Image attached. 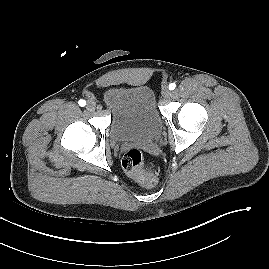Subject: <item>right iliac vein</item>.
I'll list each match as a JSON object with an SVG mask.
<instances>
[{
	"instance_id": "1",
	"label": "right iliac vein",
	"mask_w": 269,
	"mask_h": 269,
	"mask_svg": "<svg viewBox=\"0 0 269 269\" xmlns=\"http://www.w3.org/2000/svg\"><path fill=\"white\" fill-rule=\"evenodd\" d=\"M86 108H87V110H89V111H94L95 108H96V104H95V102H93V101H88V103H87V105H86Z\"/></svg>"
}]
</instances>
